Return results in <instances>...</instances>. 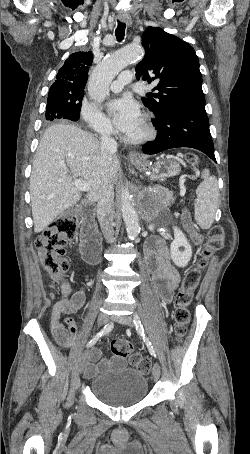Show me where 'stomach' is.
Here are the masks:
<instances>
[{"label":"stomach","instance_id":"0dacf381","mask_svg":"<svg viewBox=\"0 0 250 454\" xmlns=\"http://www.w3.org/2000/svg\"><path fill=\"white\" fill-rule=\"evenodd\" d=\"M131 163L138 170L150 172L152 174V178L159 180L169 176L177 175L180 172L179 164L170 158H162L158 160L154 165H151L150 161L145 157L132 159Z\"/></svg>","mask_w":250,"mask_h":454}]
</instances>
